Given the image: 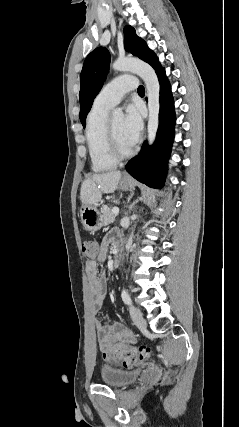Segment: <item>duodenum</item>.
Listing matches in <instances>:
<instances>
[{
  "label": "duodenum",
  "mask_w": 239,
  "mask_h": 427,
  "mask_svg": "<svg viewBox=\"0 0 239 427\" xmlns=\"http://www.w3.org/2000/svg\"><path fill=\"white\" fill-rule=\"evenodd\" d=\"M121 254H122V249H121V243H117L115 245V249H114V259H113V265L115 267H118L121 261Z\"/></svg>",
  "instance_id": "1"
}]
</instances>
